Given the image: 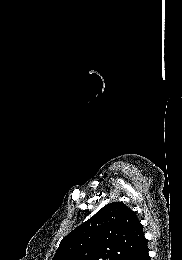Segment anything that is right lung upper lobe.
Returning <instances> with one entry per match:
<instances>
[{
    "label": "right lung upper lobe",
    "instance_id": "1",
    "mask_svg": "<svg viewBox=\"0 0 182 260\" xmlns=\"http://www.w3.org/2000/svg\"><path fill=\"white\" fill-rule=\"evenodd\" d=\"M145 242L135 212L113 202L65 236L52 260H124Z\"/></svg>",
    "mask_w": 182,
    "mask_h": 260
}]
</instances>
